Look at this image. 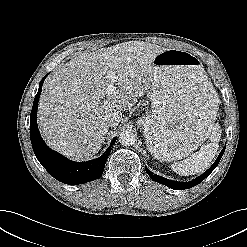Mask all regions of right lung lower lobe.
I'll use <instances>...</instances> for the list:
<instances>
[{
    "label": "right lung lower lobe",
    "instance_id": "1",
    "mask_svg": "<svg viewBox=\"0 0 247 247\" xmlns=\"http://www.w3.org/2000/svg\"><path fill=\"white\" fill-rule=\"evenodd\" d=\"M45 77L39 84L30 116V139L38 161L51 176L65 184H83L99 178L104 171L105 163L116 138L112 140L108 149L99 158L87 162L70 161L63 155L51 150L40 136L36 123L38 101Z\"/></svg>",
    "mask_w": 247,
    "mask_h": 247
}]
</instances>
